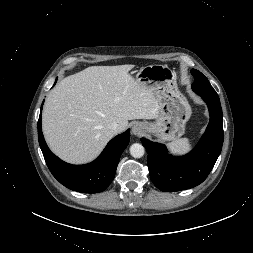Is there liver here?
Listing matches in <instances>:
<instances>
[{
	"mask_svg": "<svg viewBox=\"0 0 253 253\" xmlns=\"http://www.w3.org/2000/svg\"><path fill=\"white\" fill-rule=\"evenodd\" d=\"M134 65L91 66L61 80L48 94L42 130L50 149L61 159L83 164L95 159L116 134L108 125L156 119L158 100L128 72Z\"/></svg>",
	"mask_w": 253,
	"mask_h": 253,
	"instance_id": "6515ba94",
	"label": "liver"
}]
</instances>
